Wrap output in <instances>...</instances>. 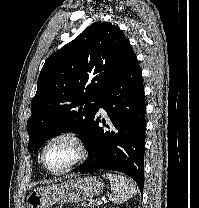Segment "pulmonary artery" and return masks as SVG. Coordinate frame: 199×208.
I'll return each mask as SVG.
<instances>
[{
  "label": "pulmonary artery",
  "mask_w": 199,
  "mask_h": 208,
  "mask_svg": "<svg viewBox=\"0 0 199 208\" xmlns=\"http://www.w3.org/2000/svg\"><path fill=\"white\" fill-rule=\"evenodd\" d=\"M100 112H103V108H100Z\"/></svg>",
  "instance_id": "1"
}]
</instances>
